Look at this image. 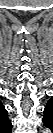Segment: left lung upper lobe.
<instances>
[{"mask_svg":"<svg viewBox=\"0 0 53 133\" xmlns=\"http://www.w3.org/2000/svg\"><path fill=\"white\" fill-rule=\"evenodd\" d=\"M53 121V103L52 100H50L44 109V125L49 126L51 122Z\"/></svg>","mask_w":53,"mask_h":133,"instance_id":"5c2ea615","label":"left lung upper lobe"}]
</instances>
